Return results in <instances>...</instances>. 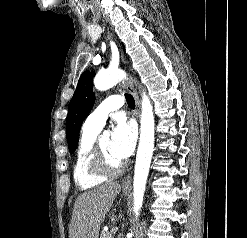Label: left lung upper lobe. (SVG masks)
<instances>
[{
	"label": "left lung upper lobe",
	"instance_id": "1",
	"mask_svg": "<svg viewBox=\"0 0 247 238\" xmlns=\"http://www.w3.org/2000/svg\"><path fill=\"white\" fill-rule=\"evenodd\" d=\"M93 75V72L89 71H85L81 75L76 91L68 106L66 135L70 153H73L77 148L81 123L94 104Z\"/></svg>",
	"mask_w": 247,
	"mask_h": 238
}]
</instances>
